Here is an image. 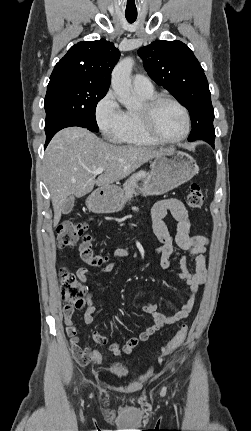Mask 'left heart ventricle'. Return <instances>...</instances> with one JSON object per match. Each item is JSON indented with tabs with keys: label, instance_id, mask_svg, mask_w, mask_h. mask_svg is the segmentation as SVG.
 <instances>
[{
	"label": "left heart ventricle",
	"instance_id": "1",
	"mask_svg": "<svg viewBox=\"0 0 251 431\" xmlns=\"http://www.w3.org/2000/svg\"><path fill=\"white\" fill-rule=\"evenodd\" d=\"M184 125V115L176 105L166 102L159 106L155 113V127L163 138H178Z\"/></svg>",
	"mask_w": 251,
	"mask_h": 431
}]
</instances>
